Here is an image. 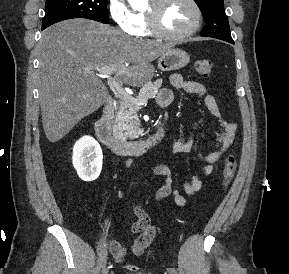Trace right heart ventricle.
I'll use <instances>...</instances> for the list:
<instances>
[{"label": "right heart ventricle", "instance_id": "e07e8e85", "mask_svg": "<svg viewBox=\"0 0 289 274\" xmlns=\"http://www.w3.org/2000/svg\"><path fill=\"white\" fill-rule=\"evenodd\" d=\"M135 19L137 23V28L134 35L139 37H149L153 35L148 26L146 13L144 12L136 13Z\"/></svg>", "mask_w": 289, "mask_h": 274}]
</instances>
